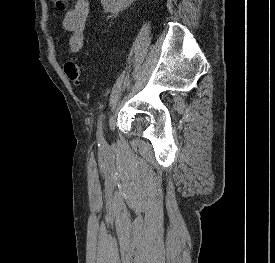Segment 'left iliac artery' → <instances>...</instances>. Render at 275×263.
Returning <instances> with one entry per match:
<instances>
[{
	"instance_id": "1",
	"label": "left iliac artery",
	"mask_w": 275,
	"mask_h": 263,
	"mask_svg": "<svg viewBox=\"0 0 275 263\" xmlns=\"http://www.w3.org/2000/svg\"><path fill=\"white\" fill-rule=\"evenodd\" d=\"M103 118H104V114H101L98 120L97 132H96L97 140L99 141L100 144H105V139L103 136Z\"/></svg>"
}]
</instances>
